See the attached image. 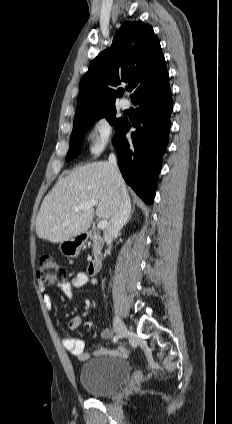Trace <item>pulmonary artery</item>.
<instances>
[{
	"instance_id": "1",
	"label": "pulmonary artery",
	"mask_w": 232,
	"mask_h": 424,
	"mask_svg": "<svg viewBox=\"0 0 232 424\" xmlns=\"http://www.w3.org/2000/svg\"><path fill=\"white\" fill-rule=\"evenodd\" d=\"M120 107H121L122 109H128V108L130 107V102H129V100H127V99H122V100L120 101Z\"/></svg>"
}]
</instances>
